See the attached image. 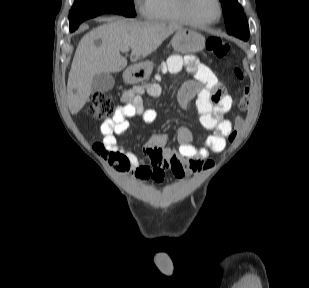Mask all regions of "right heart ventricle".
I'll use <instances>...</instances> for the list:
<instances>
[{
  "label": "right heart ventricle",
  "mask_w": 309,
  "mask_h": 288,
  "mask_svg": "<svg viewBox=\"0 0 309 288\" xmlns=\"http://www.w3.org/2000/svg\"><path fill=\"white\" fill-rule=\"evenodd\" d=\"M143 15L150 20L172 24H187L179 0H145Z\"/></svg>",
  "instance_id": "1"
}]
</instances>
